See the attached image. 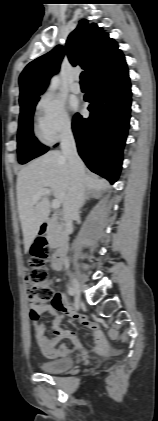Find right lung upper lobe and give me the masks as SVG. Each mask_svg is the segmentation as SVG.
Segmentation results:
<instances>
[{
  "instance_id": "cb5924a9",
  "label": "right lung upper lobe",
  "mask_w": 158,
  "mask_h": 421,
  "mask_svg": "<svg viewBox=\"0 0 158 421\" xmlns=\"http://www.w3.org/2000/svg\"><path fill=\"white\" fill-rule=\"evenodd\" d=\"M65 52L73 66L80 65L85 69L88 78L122 53L117 42L101 27L82 19L69 35L66 50L62 46H56L25 67L19 78L20 104L31 101L44 92L51 76L58 72Z\"/></svg>"
}]
</instances>
